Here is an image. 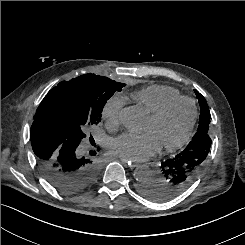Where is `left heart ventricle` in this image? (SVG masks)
<instances>
[{
  "label": "left heart ventricle",
  "instance_id": "b2bd125f",
  "mask_svg": "<svg viewBox=\"0 0 245 245\" xmlns=\"http://www.w3.org/2000/svg\"><path fill=\"white\" fill-rule=\"evenodd\" d=\"M192 117V106L183 101L172 106L158 120L146 119L142 132L149 133L158 147L172 145L185 134Z\"/></svg>",
  "mask_w": 245,
  "mask_h": 245
}]
</instances>
